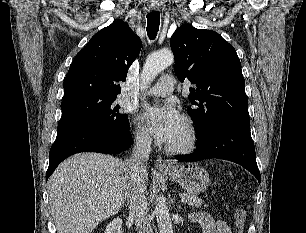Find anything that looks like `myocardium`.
Segmentation results:
<instances>
[{
  "instance_id": "obj_1",
  "label": "myocardium",
  "mask_w": 306,
  "mask_h": 233,
  "mask_svg": "<svg viewBox=\"0 0 306 233\" xmlns=\"http://www.w3.org/2000/svg\"><path fill=\"white\" fill-rule=\"evenodd\" d=\"M183 121L186 124L188 130V140L184 144L179 146H172L166 144L165 149L169 153L188 154L193 152L198 145L199 134L194 121L188 116L183 117Z\"/></svg>"
}]
</instances>
